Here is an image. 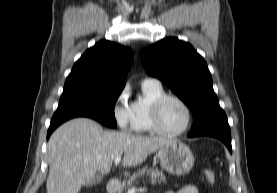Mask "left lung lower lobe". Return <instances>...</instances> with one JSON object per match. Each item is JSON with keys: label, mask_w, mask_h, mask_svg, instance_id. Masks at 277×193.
Returning <instances> with one entry per match:
<instances>
[{"label": "left lung lower lobe", "mask_w": 277, "mask_h": 193, "mask_svg": "<svg viewBox=\"0 0 277 193\" xmlns=\"http://www.w3.org/2000/svg\"><path fill=\"white\" fill-rule=\"evenodd\" d=\"M211 136L220 139L232 153L231 133L227 117L218 119L198 130L192 131L188 137Z\"/></svg>", "instance_id": "1"}]
</instances>
